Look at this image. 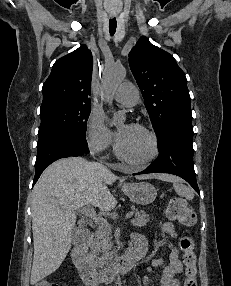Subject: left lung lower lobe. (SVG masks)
<instances>
[{
	"label": "left lung lower lobe",
	"mask_w": 231,
	"mask_h": 286,
	"mask_svg": "<svg viewBox=\"0 0 231 286\" xmlns=\"http://www.w3.org/2000/svg\"><path fill=\"white\" fill-rule=\"evenodd\" d=\"M156 135L160 150L158 158L144 171L133 175L174 174L186 180L200 194L193 166L192 122H170Z\"/></svg>",
	"instance_id": "0a47b994"
}]
</instances>
